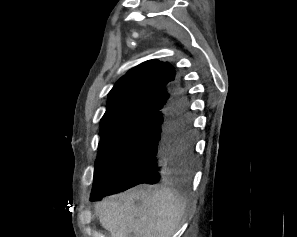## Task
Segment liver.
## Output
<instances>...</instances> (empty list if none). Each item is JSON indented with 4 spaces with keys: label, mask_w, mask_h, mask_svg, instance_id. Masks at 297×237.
I'll return each instance as SVG.
<instances>
[{
    "label": "liver",
    "mask_w": 297,
    "mask_h": 237,
    "mask_svg": "<svg viewBox=\"0 0 297 237\" xmlns=\"http://www.w3.org/2000/svg\"><path fill=\"white\" fill-rule=\"evenodd\" d=\"M186 205L187 200L171 188L144 186L106 197L97 209L110 237H172Z\"/></svg>",
    "instance_id": "obj_1"
}]
</instances>
